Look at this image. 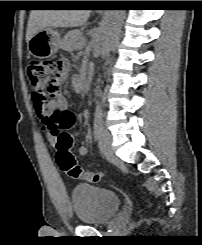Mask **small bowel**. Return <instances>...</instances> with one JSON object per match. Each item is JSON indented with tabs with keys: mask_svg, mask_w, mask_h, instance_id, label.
I'll list each match as a JSON object with an SVG mask.
<instances>
[{
	"mask_svg": "<svg viewBox=\"0 0 202 245\" xmlns=\"http://www.w3.org/2000/svg\"><path fill=\"white\" fill-rule=\"evenodd\" d=\"M61 61L65 64V66L67 68L69 67V60L67 58H62ZM49 110L51 112H53V111H68L66 99L63 96L57 98L54 102H52L50 104ZM44 131L48 134V138L50 140H53V138L49 135V132H48V130L46 128V125H44ZM79 152H80L81 155H85L86 152H87L86 147L84 145H82L80 147V149H79Z\"/></svg>",
	"mask_w": 202,
	"mask_h": 245,
	"instance_id": "small-bowel-1",
	"label": "small bowel"
}]
</instances>
